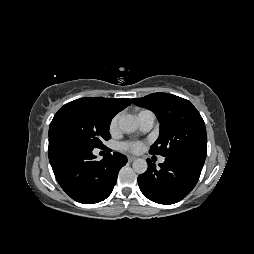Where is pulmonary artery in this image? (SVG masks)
Returning a JSON list of instances; mask_svg holds the SVG:
<instances>
[{"instance_id":"e3ab8cb5","label":"pulmonary artery","mask_w":254,"mask_h":254,"mask_svg":"<svg viewBox=\"0 0 254 254\" xmlns=\"http://www.w3.org/2000/svg\"><path fill=\"white\" fill-rule=\"evenodd\" d=\"M154 121H155V116L150 111L142 112L138 115L139 127L144 132L149 131L153 127ZM164 161H165L164 157L159 158L160 163H163Z\"/></svg>"}]
</instances>
